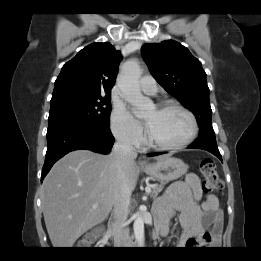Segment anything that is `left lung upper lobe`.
Masks as SVG:
<instances>
[{
    "label": "left lung upper lobe",
    "mask_w": 261,
    "mask_h": 261,
    "mask_svg": "<svg viewBox=\"0 0 261 261\" xmlns=\"http://www.w3.org/2000/svg\"><path fill=\"white\" fill-rule=\"evenodd\" d=\"M141 53L156 81L195 115L199 137L215 136L209 88L201 62L173 40L144 44Z\"/></svg>",
    "instance_id": "1"
}]
</instances>
